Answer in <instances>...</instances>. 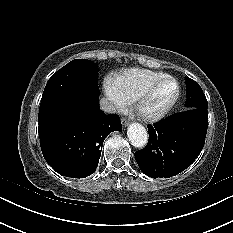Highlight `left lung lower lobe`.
<instances>
[{
    "label": "left lung lower lobe",
    "instance_id": "obj_1",
    "mask_svg": "<svg viewBox=\"0 0 233 233\" xmlns=\"http://www.w3.org/2000/svg\"><path fill=\"white\" fill-rule=\"evenodd\" d=\"M207 128V105L175 113L150 125L147 146L135 152L139 168L152 178L179 174L200 154Z\"/></svg>",
    "mask_w": 233,
    "mask_h": 233
}]
</instances>
